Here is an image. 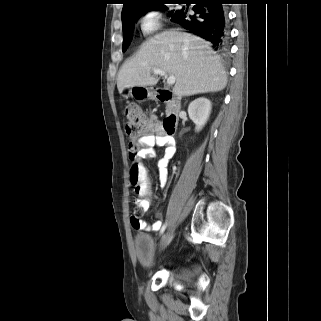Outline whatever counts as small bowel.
I'll list each match as a JSON object with an SVG mask.
<instances>
[{
	"label": "small bowel",
	"mask_w": 321,
	"mask_h": 321,
	"mask_svg": "<svg viewBox=\"0 0 321 321\" xmlns=\"http://www.w3.org/2000/svg\"><path fill=\"white\" fill-rule=\"evenodd\" d=\"M152 133H148L139 138L137 144L139 150L137 157H144L148 155V149L153 146H159L164 148V154L158 162L159 167V184L161 187L166 186L168 182V165L175 155L176 147L174 139L171 135L165 133L160 123L155 122L152 125ZM131 159V155H130ZM135 206L143 213L146 212L150 207L148 198H135ZM131 225L137 230L143 231H158L161 228V220H157L153 223H146L142 220L134 222L130 219Z\"/></svg>",
	"instance_id": "small-bowel-1"
}]
</instances>
